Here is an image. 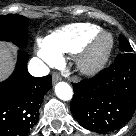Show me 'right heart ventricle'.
I'll return each instance as SVG.
<instances>
[{
	"mask_svg": "<svg viewBox=\"0 0 136 136\" xmlns=\"http://www.w3.org/2000/svg\"><path fill=\"white\" fill-rule=\"evenodd\" d=\"M100 32L101 28L93 24H70L52 32L42 42L57 55L76 53Z\"/></svg>",
	"mask_w": 136,
	"mask_h": 136,
	"instance_id": "right-heart-ventricle-1",
	"label": "right heart ventricle"
}]
</instances>
